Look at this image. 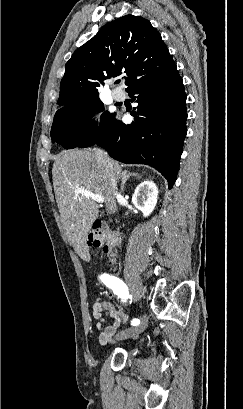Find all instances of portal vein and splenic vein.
Listing matches in <instances>:
<instances>
[{"instance_id": "obj_1", "label": "portal vein and splenic vein", "mask_w": 243, "mask_h": 409, "mask_svg": "<svg viewBox=\"0 0 243 409\" xmlns=\"http://www.w3.org/2000/svg\"><path fill=\"white\" fill-rule=\"evenodd\" d=\"M75 194L77 196L81 195L83 197L90 198V199H92V200H94V201H96L98 203H103L104 202L103 196H101L99 194H95V193H93V192H91V191H89L87 189H84V188H77L75 190Z\"/></svg>"}]
</instances>
